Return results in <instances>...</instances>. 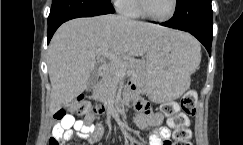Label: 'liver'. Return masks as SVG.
<instances>
[{"mask_svg": "<svg viewBox=\"0 0 243 145\" xmlns=\"http://www.w3.org/2000/svg\"><path fill=\"white\" fill-rule=\"evenodd\" d=\"M191 36L159 25L119 15L77 18L62 24L48 49L51 82L50 111L57 112L81 94L96 66V52L108 48L116 55L142 56L160 36Z\"/></svg>", "mask_w": 243, "mask_h": 145, "instance_id": "6515ba94", "label": "liver"}]
</instances>
